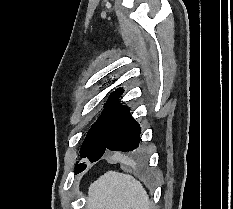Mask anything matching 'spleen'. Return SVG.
Here are the masks:
<instances>
[{"label": "spleen", "mask_w": 233, "mask_h": 209, "mask_svg": "<svg viewBox=\"0 0 233 209\" xmlns=\"http://www.w3.org/2000/svg\"><path fill=\"white\" fill-rule=\"evenodd\" d=\"M87 209H152L148 194L133 176L108 171L88 191Z\"/></svg>", "instance_id": "3e777b00"}]
</instances>
